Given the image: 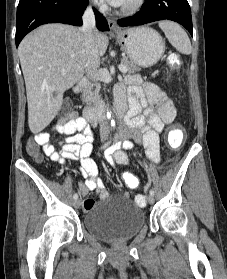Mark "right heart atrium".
<instances>
[{"mask_svg":"<svg viewBox=\"0 0 227 279\" xmlns=\"http://www.w3.org/2000/svg\"><path fill=\"white\" fill-rule=\"evenodd\" d=\"M99 0H90L91 3L96 4Z\"/></svg>","mask_w":227,"mask_h":279,"instance_id":"d8ad5b80","label":"right heart atrium"}]
</instances>
